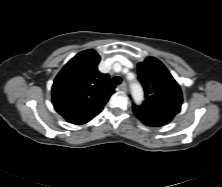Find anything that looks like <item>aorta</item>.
Returning a JSON list of instances; mask_svg holds the SVG:
<instances>
[{"label": "aorta", "instance_id": "762f6f07", "mask_svg": "<svg viewBox=\"0 0 222 187\" xmlns=\"http://www.w3.org/2000/svg\"><path fill=\"white\" fill-rule=\"evenodd\" d=\"M132 97L136 104H140L143 100V90L138 83L131 84Z\"/></svg>", "mask_w": 222, "mask_h": 187}]
</instances>
